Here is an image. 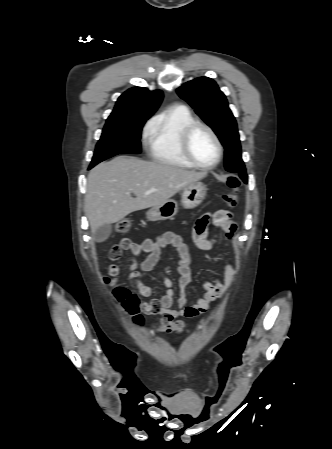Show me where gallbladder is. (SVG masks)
I'll return each instance as SVG.
<instances>
[{"label":"gallbladder","instance_id":"bac80fb5","mask_svg":"<svg viewBox=\"0 0 332 449\" xmlns=\"http://www.w3.org/2000/svg\"><path fill=\"white\" fill-rule=\"evenodd\" d=\"M112 231V227L111 225L107 224V225H103L101 227H99L95 232H94V239L97 242H102L104 240H106L109 235L111 234Z\"/></svg>","mask_w":332,"mask_h":449}]
</instances>
